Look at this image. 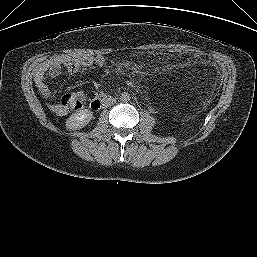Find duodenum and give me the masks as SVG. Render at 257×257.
Returning a JSON list of instances; mask_svg holds the SVG:
<instances>
[{"mask_svg": "<svg viewBox=\"0 0 257 257\" xmlns=\"http://www.w3.org/2000/svg\"><path fill=\"white\" fill-rule=\"evenodd\" d=\"M114 101V98L109 94H99L90 103V107L93 110H99L103 106H106Z\"/></svg>", "mask_w": 257, "mask_h": 257, "instance_id": "410a0bca", "label": "duodenum"}]
</instances>
